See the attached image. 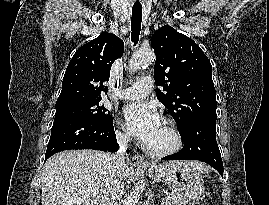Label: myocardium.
<instances>
[{
  "instance_id": "obj_1",
  "label": "myocardium",
  "mask_w": 269,
  "mask_h": 205,
  "mask_svg": "<svg viewBox=\"0 0 269 205\" xmlns=\"http://www.w3.org/2000/svg\"><path fill=\"white\" fill-rule=\"evenodd\" d=\"M162 121L166 124L169 130V133L172 137V144L163 149H154L149 146H145V151L155 157H166L172 155L178 152L183 146V137L175 121L169 117H164Z\"/></svg>"
}]
</instances>
